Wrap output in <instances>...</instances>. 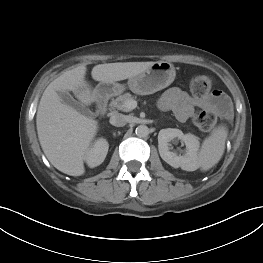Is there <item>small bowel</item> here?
<instances>
[{
	"mask_svg": "<svg viewBox=\"0 0 263 263\" xmlns=\"http://www.w3.org/2000/svg\"><path fill=\"white\" fill-rule=\"evenodd\" d=\"M159 106L164 110H171L180 121L189 119L196 108L211 109L221 113L230 110L229 100L221 91H214L206 97H197L178 87L166 90L160 98Z\"/></svg>",
	"mask_w": 263,
	"mask_h": 263,
	"instance_id": "small-bowel-1",
	"label": "small bowel"
}]
</instances>
